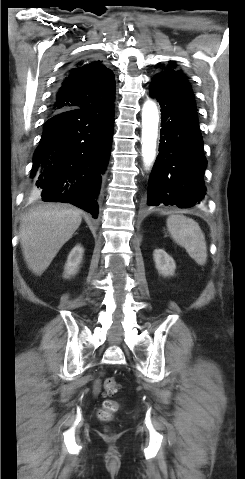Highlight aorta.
<instances>
[{"instance_id": "aorta-1", "label": "aorta", "mask_w": 245, "mask_h": 479, "mask_svg": "<svg viewBox=\"0 0 245 479\" xmlns=\"http://www.w3.org/2000/svg\"><path fill=\"white\" fill-rule=\"evenodd\" d=\"M159 113L153 101H146L142 109V156L146 167H150L156 156Z\"/></svg>"}]
</instances>
